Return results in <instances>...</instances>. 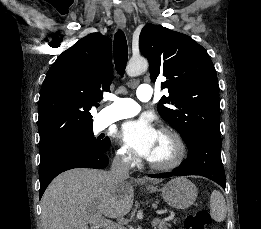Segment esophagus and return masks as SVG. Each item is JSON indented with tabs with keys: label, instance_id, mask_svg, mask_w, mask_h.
I'll use <instances>...</instances> for the list:
<instances>
[{
	"label": "esophagus",
	"instance_id": "1",
	"mask_svg": "<svg viewBox=\"0 0 261 229\" xmlns=\"http://www.w3.org/2000/svg\"><path fill=\"white\" fill-rule=\"evenodd\" d=\"M114 20L119 27L121 28L126 27V18L124 15H114Z\"/></svg>",
	"mask_w": 261,
	"mask_h": 229
}]
</instances>
